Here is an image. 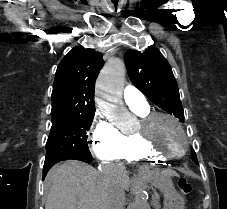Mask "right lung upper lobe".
I'll use <instances>...</instances> for the list:
<instances>
[{
	"label": "right lung upper lobe",
	"mask_w": 227,
	"mask_h": 209,
	"mask_svg": "<svg viewBox=\"0 0 227 209\" xmlns=\"http://www.w3.org/2000/svg\"><path fill=\"white\" fill-rule=\"evenodd\" d=\"M104 62L102 54L82 46L74 47L58 65L52 91V111L64 100H81L75 111H95L94 86Z\"/></svg>",
	"instance_id": "cb5924a9"
}]
</instances>
